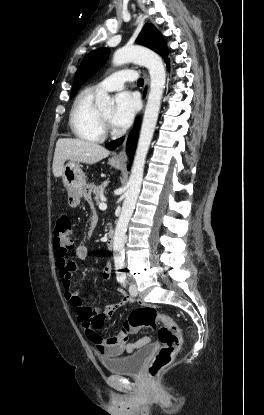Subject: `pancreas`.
Here are the masks:
<instances>
[{
	"label": "pancreas",
	"mask_w": 264,
	"mask_h": 415,
	"mask_svg": "<svg viewBox=\"0 0 264 415\" xmlns=\"http://www.w3.org/2000/svg\"><path fill=\"white\" fill-rule=\"evenodd\" d=\"M93 193H94V199H95L96 203L100 204V202L102 201V198L104 196L103 186L95 187L94 190H93Z\"/></svg>",
	"instance_id": "obj_1"
}]
</instances>
